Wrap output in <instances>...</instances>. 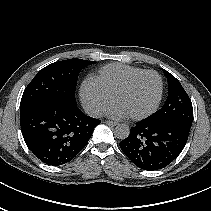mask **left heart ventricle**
Listing matches in <instances>:
<instances>
[{"label": "left heart ventricle", "instance_id": "1", "mask_svg": "<svg viewBox=\"0 0 211 211\" xmlns=\"http://www.w3.org/2000/svg\"><path fill=\"white\" fill-rule=\"evenodd\" d=\"M159 93V80L154 74L139 78L127 91L117 96L118 103L129 116L148 111L156 102Z\"/></svg>", "mask_w": 211, "mask_h": 211}]
</instances>
